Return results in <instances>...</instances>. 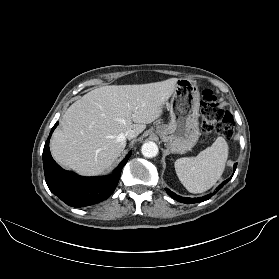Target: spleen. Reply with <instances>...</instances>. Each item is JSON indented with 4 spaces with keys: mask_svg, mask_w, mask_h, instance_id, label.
<instances>
[{
    "mask_svg": "<svg viewBox=\"0 0 279 279\" xmlns=\"http://www.w3.org/2000/svg\"><path fill=\"white\" fill-rule=\"evenodd\" d=\"M228 158V144L223 137L201 151L196 157H183L175 161L176 174L190 193H202L221 178Z\"/></svg>",
    "mask_w": 279,
    "mask_h": 279,
    "instance_id": "1",
    "label": "spleen"
}]
</instances>
